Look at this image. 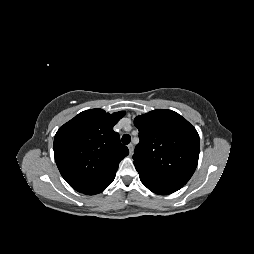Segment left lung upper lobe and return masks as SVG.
<instances>
[{
    "label": "left lung upper lobe",
    "mask_w": 254,
    "mask_h": 254,
    "mask_svg": "<svg viewBox=\"0 0 254 254\" xmlns=\"http://www.w3.org/2000/svg\"><path fill=\"white\" fill-rule=\"evenodd\" d=\"M140 142L133 159L136 170L146 176L185 185L199 157V135L181 115L153 110L134 120Z\"/></svg>",
    "instance_id": "obj_1"
}]
</instances>
